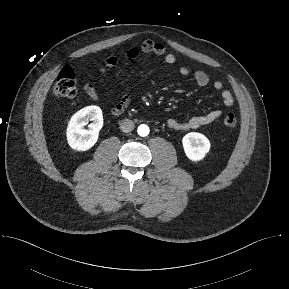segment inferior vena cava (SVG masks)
Instances as JSON below:
<instances>
[{"mask_svg": "<svg viewBox=\"0 0 289 289\" xmlns=\"http://www.w3.org/2000/svg\"><path fill=\"white\" fill-rule=\"evenodd\" d=\"M120 129L124 133H128L134 129V122L129 119H124L120 123Z\"/></svg>", "mask_w": 289, "mask_h": 289, "instance_id": "602c4592", "label": "inferior vena cava"}]
</instances>
